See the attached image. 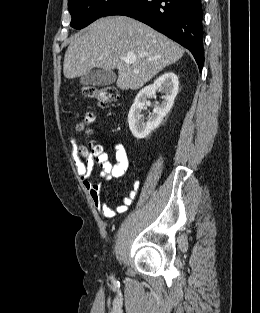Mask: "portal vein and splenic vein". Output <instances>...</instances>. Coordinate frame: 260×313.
<instances>
[{
	"instance_id": "18ae733b",
	"label": "portal vein and splenic vein",
	"mask_w": 260,
	"mask_h": 313,
	"mask_svg": "<svg viewBox=\"0 0 260 313\" xmlns=\"http://www.w3.org/2000/svg\"><path fill=\"white\" fill-rule=\"evenodd\" d=\"M125 63L127 64H131L133 63L134 60H136V57L134 56H128V57H124V58H121Z\"/></svg>"
}]
</instances>
